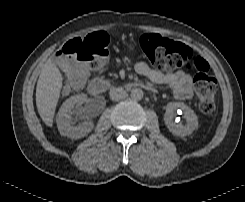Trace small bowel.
Returning <instances> with one entry per match:
<instances>
[{"instance_id":"c3829d8e","label":"small bowel","mask_w":245,"mask_h":202,"mask_svg":"<svg viewBox=\"0 0 245 202\" xmlns=\"http://www.w3.org/2000/svg\"><path fill=\"white\" fill-rule=\"evenodd\" d=\"M104 33L109 36L107 31ZM135 71L139 75L147 78L152 83L167 85L173 91L174 96L179 100H187L192 97V80L185 71L179 70L172 73H162L157 69L151 68L145 62H138L135 65ZM82 86L83 81L77 85V87ZM61 91L64 94H68L70 91V86L63 83Z\"/></svg>"}]
</instances>
